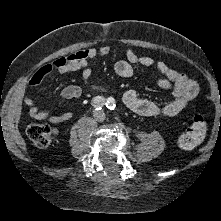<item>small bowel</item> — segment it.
<instances>
[{"label":"small bowel","mask_w":221,"mask_h":221,"mask_svg":"<svg viewBox=\"0 0 221 221\" xmlns=\"http://www.w3.org/2000/svg\"><path fill=\"white\" fill-rule=\"evenodd\" d=\"M110 51L107 45L99 48H84L67 57L57 58L50 64H46L39 68L35 74L29 79L31 86L39 85L42 80L56 70L59 73H67L80 70L83 81L90 89L96 92H105L106 90L98 85L90 82L92 75V60L106 56ZM154 65V60L150 56L138 55L131 48L126 49V59L118 61L114 66L115 73L120 77H131L136 66L150 67ZM156 70L160 74L157 79L159 87L170 90L173 100L159 105L151 100L140 97L136 91L128 90L122 95L123 103L133 112L142 116H175L184 110L190 102L198 95V83L188 77L186 74L171 68L164 62L156 63ZM82 90L79 86L68 85L61 90L63 99H77L81 96ZM23 103L29 108L30 116L38 120H46L53 124H60L70 120L73 112L67 111L61 114L53 115L48 111L39 110L33 99L24 97Z\"/></svg>","instance_id":"obj_1"}]
</instances>
